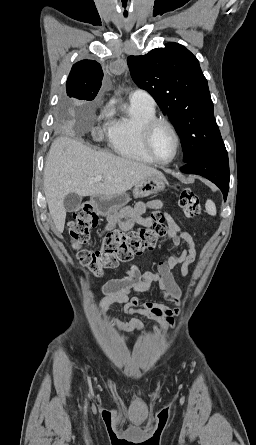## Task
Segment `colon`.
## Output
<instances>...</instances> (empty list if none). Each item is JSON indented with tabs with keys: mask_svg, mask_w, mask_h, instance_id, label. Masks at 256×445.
Returning <instances> with one entry per match:
<instances>
[{
	"mask_svg": "<svg viewBox=\"0 0 256 445\" xmlns=\"http://www.w3.org/2000/svg\"><path fill=\"white\" fill-rule=\"evenodd\" d=\"M179 206L186 218L196 217L201 212L199 197L190 189L180 191ZM150 219V225L128 232L109 231L103 238L101 248L90 251L83 246L88 243L90 231L97 227L99 218L94 212L92 203L86 201L74 212L69 225V236L81 264L94 276L100 277L103 269L128 262L157 246L159 240L166 234L165 219L159 211L154 212Z\"/></svg>",
	"mask_w": 256,
	"mask_h": 445,
	"instance_id": "1",
	"label": "colon"
}]
</instances>
